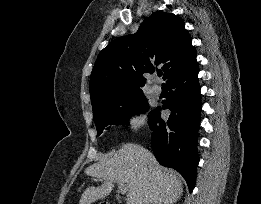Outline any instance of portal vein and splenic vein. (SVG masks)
<instances>
[{"mask_svg":"<svg viewBox=\"0 0 261 204\" xmlns=\"http://www.w3.org/2000/svg\"><path fill=\"white\" fill-rule=\"evenodd\" d=\"M119 192L122 194H125L128 190L127 185L123 183L122 181H117Z\"/></svg>","mask_w":261,"mask_h":204,"instance_id":"18ae733b","label":"portal vein and splenic vein"}]
</instances>
